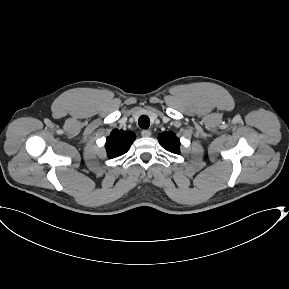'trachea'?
I'll use <instances>...</instances> for the list:
<instances>
[{
  "instance_id": "1",
  "label": "trachea",
  "mask_w": 289,
  "mask_h": 289,
  "mask_svg": "<svg viewBox=\"0 0 289 289\" xmlns=\"http://www.w3.org/2000/svg\"><path fill=\"white\" fill-rule=\"evenodd\" d=\"M139 127L142 129H148L150 126V119L148 116H141L138 120Z\"/></svg>"
}]
</instances>
